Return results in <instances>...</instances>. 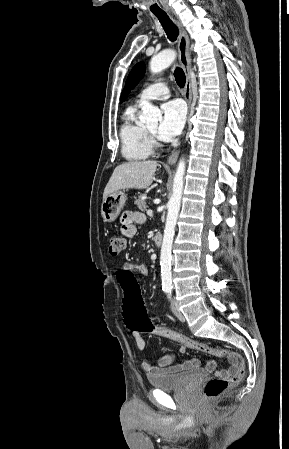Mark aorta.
<instances>
[{"instance_id": "762f6f07", "label": "aorta", "mask_w": 289, "mask_h": 449, "mask_svg": "<svg viewBox=\"0 0 289 449\" xmlns=\"http://www.w3.org/2000/svg\"><path fill=\"white\" fill-rule=\"evenodd\" d=\"M176 58V52L168 49L152 57L150 61V70L153 74L159 73L170 66ZM161 112L157 107L150 103H143L141 122L145 124L157 123ZM186 169L185 160L182 158L177 166L173 180V193L168 202L167 218L163 236V243L160 254L161 279L164 288L172 287L171 275V250L175 233L176 222L181 206L182 192L184 188V174Z\"/></svg>"}]
</instances>
